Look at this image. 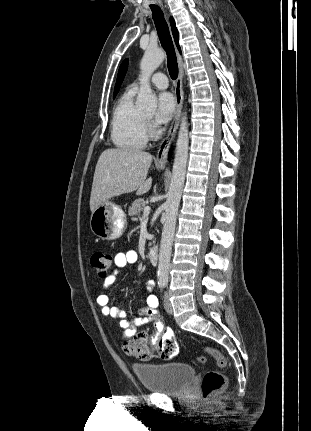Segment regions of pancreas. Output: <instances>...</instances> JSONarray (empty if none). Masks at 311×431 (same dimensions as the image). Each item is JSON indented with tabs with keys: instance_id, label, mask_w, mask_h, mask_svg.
Here are the masks:
<instances>
[{
	"instance_id": "cf45deb5",
	"label": "pancreas",
	"mask_w": 311,
	"mask_h": 431,
	"mask_svg": "<svg viewBox=\"0 0 311 431\" xmlns=\"http://www.w3.org/2000/svg\"><path fill=\"white\" fill-rule=\"evenodd\" d=\"M147 202H144L143 198H138L133 202L132 206L128 208V216L131 217L132 221H138V217L141 216V212H143L144 208H146ZM148 245H152V241H149Z\"/></svg>"
}]
</instances>
